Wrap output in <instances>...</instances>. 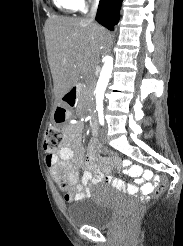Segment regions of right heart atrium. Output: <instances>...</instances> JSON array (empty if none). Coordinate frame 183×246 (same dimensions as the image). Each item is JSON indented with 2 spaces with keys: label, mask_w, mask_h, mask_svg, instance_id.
<instances>
[{
  "label": "right heart atrium",
  "mask_w": 183,
  "mask_h": 246,
  "mask_svg": "<svg viewBox=\"0 0 183 246\" xmlns=\"http://www.w3.org/2000/svg\"><path fill=\"white\" fill-rule=\"evenodd\" d=\"M75 1H76L77 5L79 6V8H82V7H84L86 1H88V0H75Z\"/></svg>",
  "instance_id": "d8ad5b80"
}]
</instances>
